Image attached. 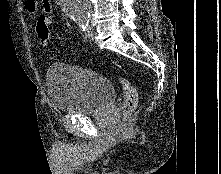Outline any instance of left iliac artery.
Listing matches in <instances>:
<instances>
[{
  "label": "left iliac artery",
  "instance_id": "left-iliac-artery-1",
  "mask_svg": "<svg viewBox=\"0 0 221 174\" xmlns=\"http://www.w3.org/2000/svg\"><path fill=\"white\" fill-rule=\"evenodd\" d=\"M87 25H88V21L87 22L86 21H84V22L82 21V22L79 23V26L81 27L82 30H85Z\"/></svg>",
  "mask_w": 221,
  "mask_h": 174
}]
</instances>
